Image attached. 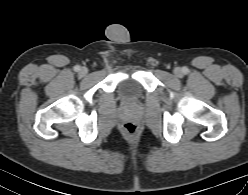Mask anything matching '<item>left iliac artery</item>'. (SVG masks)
I'll use <instances>...</instances> for the list:
<instances>
[{"label": "left iliac artery", "mask_w": 248, "mask_h": 195, "mask_svg": "<svg viewBox=\"0 0 248 195\" xmlns=\"http://www.w3.org/2000/svg\"><path fill=\"white\" fill-rule=\"evenodd\" d=\"M183 72L187 73L188 72L187 68H183Z\"/></svg>", "instance_id": "1"}]
</instances>
